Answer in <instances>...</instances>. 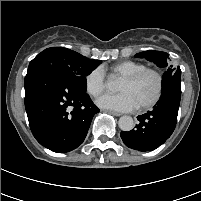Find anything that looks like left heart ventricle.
Instances as JSON below:
<instances>
[{"label": "left heart ventricle", "instance_id": "left-heart-ventricle-1", "mask_svg": "<svg viewBox=\"0 0 201 201\" xmlns=\"http://www.w3.org/2000/svg\"><path fill=\"white\" fill-rule=\"evenodd\" d=\"M156 86L155 77L152 74H147L133 83L122 80L119 85V91L129 93L137 106H139L148 102L153 97Z\"/></svg>", "mask_w": 201, "mask_h": 201}]
</instances>
